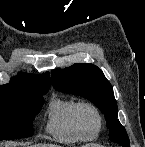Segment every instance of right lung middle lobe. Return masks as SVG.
<instances>
[{
    "instance_id": "1",
    "label": "right lung middle lobe",
    "mask_w": 145,
    "mask_h": 147,
    "mask_svg": "<svg viewBox=\"0 0 145 147\" xmlns=\"http://www.w3.org/2000/svg\"><path fill=\"white\" fill-rule=\"evenodd\" d=\"M48 88L26 89L0 95V140L33 135L32 122L43 106Z\"/></svg>"
}]
</instances>
